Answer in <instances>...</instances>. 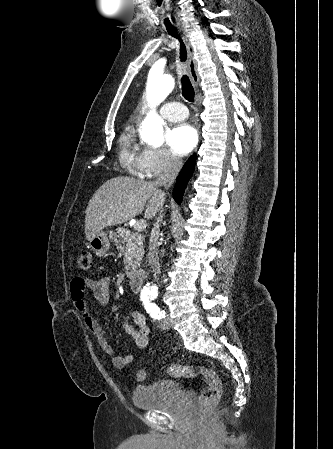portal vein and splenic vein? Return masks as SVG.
I'll use <instances>...</instances> for the list:
<instances>
[{
  "mask_svg": "<svg viewBox=\"0 0 333 449\" xmlns=\"http://www.w3.org/2000/svg\"><path fill=\"white\" fill-rule=\"evenodd\" d=\"M146 222L145 221H143V220H141V221H137L136 222V224L134 225V228L136 229V230H144L145 228H146Z\"/></svg>",
  "mask_w": 333,
  "mask_h": 449,
  "instance_id": "portal-vein-and-splenic-vein-1",
  "label": "portal vein and splenic vein"
}]
</instances>
